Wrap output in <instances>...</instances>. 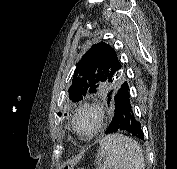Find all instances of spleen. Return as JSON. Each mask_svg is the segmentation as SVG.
Instances as JSON below:
<instances>
[{
	"instance_id": "1",
	"label": "spleen",
	"mask_w": 177,
	"mask_h": 169,
	"mask_svg": "<svg viewBox=\"0 0 177 169\" xmlns=\"http://www.w3.org/2000/svg\"><path fill=\"white\" fill-rule=\"evenodd\" d=\"M97 160L98 169H145L141 146L122 134L107 135L100 141Z\"/></svg>"
}]
</instances>
